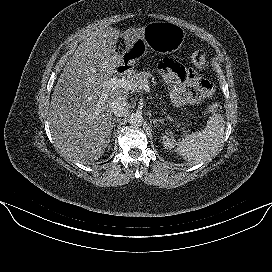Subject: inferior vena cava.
<instances>
[{
	"mask_svg": "<svg viewBox=\"0 0 272 272\" xmlns=\"http://www.w3.org/2000/svg\"><path fill=\"white\" fill-rule=\"evenodd\" d=\"M129 104L124 99H117L112 103V114L116 117H122L128 112Z\"/></svg>",
	"mask_w": 272,
	"mask_h": 272,
	"instance_id": "obj_1",
	"label": "inferior vena cava"
}]
</instances>
